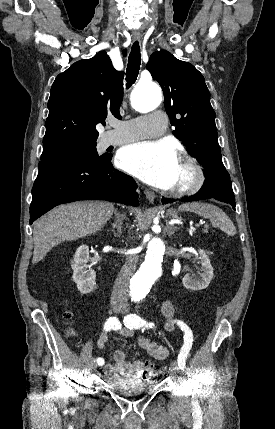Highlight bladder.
<instances>
[{
	"instance_id": "31cf9c89",
	"label": "bladder",
	"mask_w": 275,
	"mask_h": 429,
	"mask_svg": "<svg viewBox=\"0 0 275 429\" xmlns=\"http://www.w3.org/2000/svg\"><path fill=\"white\" fill-rule=\"evenodd\" d=\"M119 398H140V393H154V384H148L147 378H118L107 381Z\"/></svg>"
}]
</instances>
